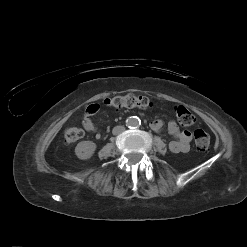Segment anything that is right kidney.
Returning a JSON list of instances; mask_svg holds the SVG:
<instances>
[{"instance_id": "obj_1", "label": "right kidney", "mask_w": 247, "mask_h": 247, "mask_svg": "<svg viewBox=\"0 0 247 247\" xmlns=\"http://www.w3.org/2000/svg\"><path fill=\"white\" fill-rule=\"evenodd\" d=\"M96 144L92 141H82L75 147V154L79 159L86 160L92 157Z\"/></svg>"}]
</instances>
